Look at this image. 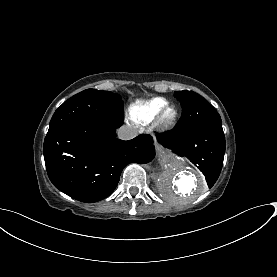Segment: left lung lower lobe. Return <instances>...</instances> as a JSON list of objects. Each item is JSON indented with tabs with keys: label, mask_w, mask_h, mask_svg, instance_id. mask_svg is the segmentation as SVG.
<instances>
[{
	"label": "left lung lower lobe",
	"mask_w": 277,
	"mask_h": 277,
	"mask_svg": "<svg viewBox=\"0 0 277 277\" xmlns=\"http://www.w3.org/2000/svg\"><path fill=\"white\" fill-rule=\"evenodd\" d=\"M165 148L179 156H186L205 175L211 188L217 181L225 153L222 122L204 123L170 132L156 133Z\"/></svg>",
	"instance_id": "left-lung-lower-lobe-1"
}]
</instances>
